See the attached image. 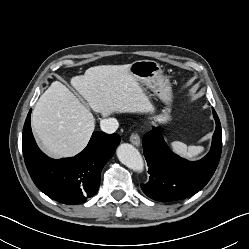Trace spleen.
I'll return each instance as SVG.
<instances>
[{
    "mask_svg": "<svg viewBox=\"0 0 249 249\" xmlns=\"http://www.w3.org/2000/svg\"><path fill=\"white\" fill-rule=\"evenodd\" d=\"M170 147L173 152L189 160L195 159L204 150L202 146H187L186 144L179 141L170 143Z\"/></svg>",
    "mask_w": 249,
    "mask_h": 249,
    "instance_id": "spleen-1",
    "label": "spleen"
}]
</instances>
